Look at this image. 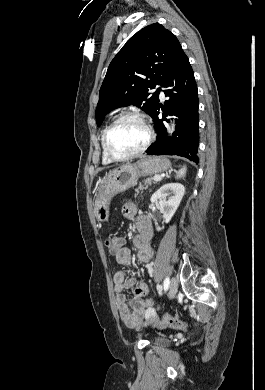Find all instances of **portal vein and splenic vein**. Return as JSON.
Here are the masks:
<instances>
[{"mask_svg":"<svg viewBox=\"0 0 265 390\" xmlns=\"http://www.w3.org/2000/svg\"><path fill=\"white\" fill-rule=\"evenodd\" d=\"M154 181H160L161 180V177L160 176H154Z\"/></svg>","mask_w":265,"mask_h":390,"instance_id":"obj_1","label":"portal vein and splenic vein"}]
</instances>
